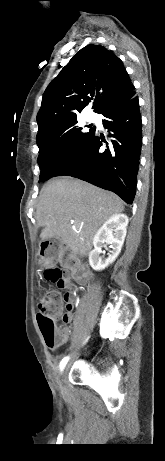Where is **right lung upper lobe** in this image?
Instances as JSON below:
<instances>
[{
    "label": "right lung upper lobe",
    "instance_id": "obj_1",
    "mask_svg": "<svg viewBox=\"0 0 165 461\" xmlns=\"http://www.w3.org/2000/svg\"><path fill=\"white\" fill-rule=\"evenodd\" d=\"M123 62L101 45H87L76 53L45 90L37 114V138L77 118L94 99V111L103 114L135 96Z\"/></svg>",
    "mask_w": 165,
    "mask_h": 461
}]
</instances>
